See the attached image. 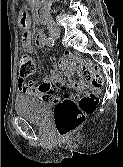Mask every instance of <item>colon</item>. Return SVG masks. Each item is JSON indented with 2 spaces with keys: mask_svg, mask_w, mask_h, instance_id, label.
<instances>
[{
  "mask_svg": "<svg viewBox=\"0 0 123 167\" xmlns=\"http://www.w3.org/2000/svg\"><path fill=\"white\" fill-rule=\"evenodd\" d=\"M36 69V62L29 54H22L19 59V75L27 77L32 75ZM83 75L92 86L99 88L104 79L94 64H87L82 68ZM98 98L94 94L83 96L78 103L69 99L58 101L54 109V123L60 137H67L77 130L85 120L92 114L97 106Z\"/></svg>",
  "mask_w": 123,
  "mask_h": 167,
  "instance_id": "5ec220e1",
  "label": "colon"
}]
</instances>
